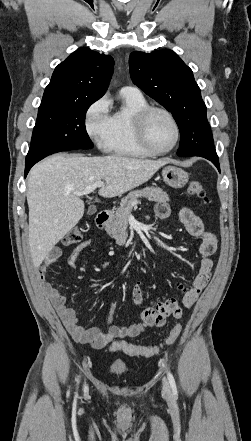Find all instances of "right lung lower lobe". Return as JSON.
Masks as SVG:
<instances>
[{
	"instance_id": "right-lung-lower-lobe-1",
	"label": "right lung lower lobe",
	"mask_w": 251,
	"mask_h": 441,
	"mask_svg": "<svg viewBox=\"0 0 251 441\" xmlns=\"http://www.w3.org/2000/svg\"><path fill=\"white\" fill-rule=\"evenodd\" d=\"M57 152H61V150L42 148V147H30L29 152L26 156L25 177L27 176L29 170L35 163L45 158L46 156Z\"/></svg>"
}]
</instances>
